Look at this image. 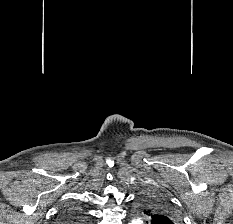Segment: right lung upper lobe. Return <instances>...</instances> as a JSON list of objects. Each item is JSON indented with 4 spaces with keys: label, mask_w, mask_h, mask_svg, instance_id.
Wrapping results in <instances>:
<instances>
[{
    "label": "right lung upper lobe",
    "mask_w": 233,
    "mask_h": 224,
    "mask_svg": "<svg viewBox=\"0 0 233 224\" xmlns=\"http://www.w3.org/2000/svg\"><path fill=\"white\" fill-rule=\"evenodd\" d=\"M61 224H85L87 220L84 215L77 210H69L61 215Z\"/></svg>",
    "instance_id": "1"
}]
</instances>
